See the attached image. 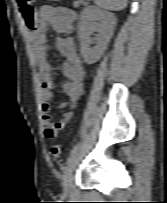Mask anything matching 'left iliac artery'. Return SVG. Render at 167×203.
Listing matches in <instances>:
<instances>
[{
    "mask_svg": "<svg viewBox=\"0 0 167 203\" xmlns=\"http://www.w3.org/2000/svg\"><path fill=\"white\" fill-rule=\"evenodd\" d=\"M79 149V143H77L71 150L70 155L67 159V163H69L71 161V159L74 157V155L77 153Z\"/></svg>",
    "mask_w": 167,
    "mask_h": 203,
    "instance_id": "1",
    "label": "left iliac artery"
}]
</instances>
